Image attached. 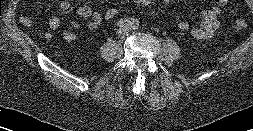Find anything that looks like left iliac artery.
Segmentation results:
<instances>
[{
  "label": "left iliac artery",
  "mask_w": 253,
  "mask_h": 131,
  "mask_svg": "<svg viewBox=\"0 0 253 131\" xmlns=\"http://www.w3.org/2000/svg\"><path fill=\"white\" fill-rule=\"evenodd\" d=\"M138 26H139L138 22L135 21V20H132V22H131L129 28H130V29H137Z\"/></svg>",
  "instance_id": "obj_1"
}]
</instances>
